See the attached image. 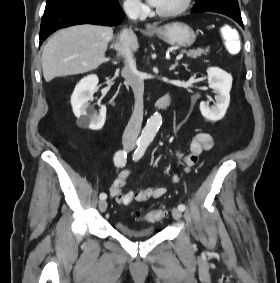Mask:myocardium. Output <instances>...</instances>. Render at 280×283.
<instances>
[{
  "label": "myocardium",
  "instance_id": "myocardium-1",
  "mask_svg": "<svg viewBox=\"0 0 280 283\" xmlns=\"http://www.w3.org/2000/svg\"><path fill=\"white\" fill-rule=\"evenodd\" d=\"M192 1L193 0H183L182 3L174 9L163 11L156 8L155 11L160 17H175L186 12L190 8Z\"/></svg>",
  "mask_w": 280,
  "mask_h": 283
}]
</instances>
